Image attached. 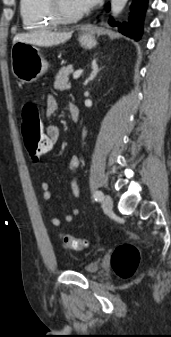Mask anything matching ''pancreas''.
Here are the masks:
<instances>
[{
	"label": "pancreas",
	"instance_id": "cf45deb5",
	"mask_svg": "<svg viewBox=\"0 0 171 337\" xmlns=\"http://www.w3.org/2000/svg\"><path fill=\"white\" fill-rule=\"evenodd\" d=\"M72 71L73 69L71 65L60 69L55 77L54 88L56 90L63 91L71 88V84L68 82V76Z\"/></svg>",
	"mask_w": 171,
	"mask_h": 337
}]
</instances>
